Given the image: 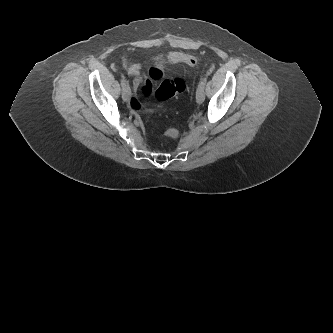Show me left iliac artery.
<instances>
[{"instance_id":"1","label":"left iliac artery","mask_w":333,"mask_h":333,"mask_svg":"<svg viewBox=\"0 0 333 333\" xmlns=\"http://www.w3.org/2000/svg\"><path fill=\"white\" fill-rule=\"evenodd\" d=\"M206 81H207V79L203 78L202 81L200 82L199 86L204 88L205 84H206Z\"/></svg>"}]
</instances>
